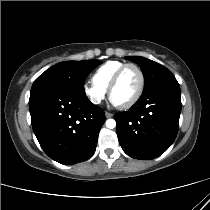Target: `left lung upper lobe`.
<instances>
[{
  "label": "left lung upper lobe",
  "instance_id": "1",
  "mask_svg": "<svg viewBox=\"0 0 210 210\" xmlns=\"http://www.w3.org/2000/svg\"><path fill=\"white\" fill-rule=\"evenodd\" d=\"M126 58L140 66L145 79L144 92L159 83L175 79L174 75L166 67L157 62L141 56H127Z\"/></svg>",
  "mask_w": 210,
  "mask_h": 210
}]
</instances>
